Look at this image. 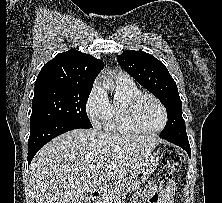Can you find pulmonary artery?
Returning <instances> with one entry per match:
<instances>
[{"label": "pulmonary artery", "instance_id": "e3ab8cb5", "mask_svg": "<svg viewBox=\"0 0 222 203\" xmlns=\"http://www.w3.org/2000/svg\"><path fill=\"white\" fill-rule=\"evenodd\" d=\"M115 79L121 82H133L129 75L122 72L117 73Z\"/></svg>", "mask_w": 222, "mask_h": 203}]
</instances>
